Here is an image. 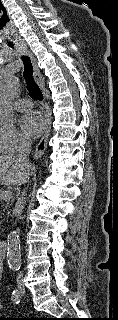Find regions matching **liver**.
I'll return each mask as SVG.
<instances>
[{"label":"liver","mask_w":118,"mask_h":320,"mask_svg":"<svg viewBox=\"0 0 118 320\" xmlns=\"http://www.w3.org/2000/svg\"><path fill=\"white\" fill-rule=\"evenodd\" d=\"M30 165L18 161L16 156H0V183L3 185H21L29 174Z\"/></svg>","instance_id":"liver-1"}]
</instances>
